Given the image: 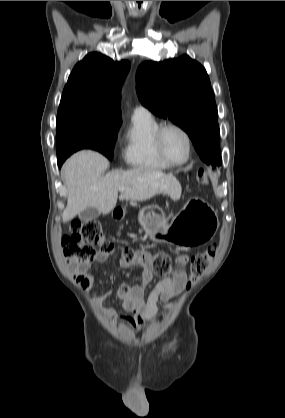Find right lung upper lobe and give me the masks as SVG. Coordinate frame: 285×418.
<instances>
[{
    "instance_id": "cb5924a9",
    "label": "right lung upper lobe",
    "mask_w": 285,
    "mask_h": 418,
    "mask_svg": "<svg viewBox=\"0 0 285 418\" xmlns=\"http://www.w3.org/2000/svg\"><path fill=\"white\" fill-rule=\"evenodd\" d=\"M129 69L127 60L88 54L73 68L58 110L89 111L121 120L120 90Z\"/></svg>"
}]
</instances>
